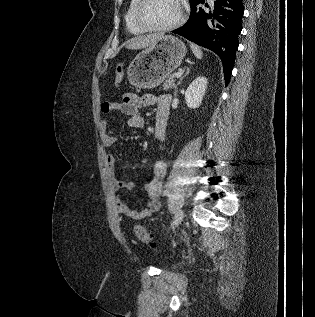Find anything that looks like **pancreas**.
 Wrapping results in <instances>:
<instances>
[{
	"label": "pancreas",
	"instance_id": "obj_1",
	"mask_svg": "<svg viewBox=\"0 0 315 317\" xmlns=\"http://www.w3.org/2000/svg\"><path fill=\"white\" fill-rule=\"evenodd\" d=\"M175 75H170L167 79L163 82L162 90L167 91L169 89L175 88Z\"/></svg>",
	"mask_w": 315,
	"mask_h": 317
}]
</instances>
